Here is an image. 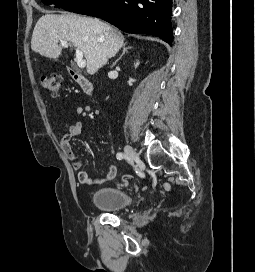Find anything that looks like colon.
<instances>
[{"instance_id":"obj_1","label":"colon","mask_w":255,"mask_h":272,"mask_svg":"<svg viewBox=\"0 0 255 272\" xmlns=\"http://www.w3.org/2000/svg\"><path fill=\"white\" fill-rule=\"evenodd\" d=\"M62 77L57 73H48L42 76V86L52 95L57 97L60 92Z\"/></svg>"}]
</instances>
